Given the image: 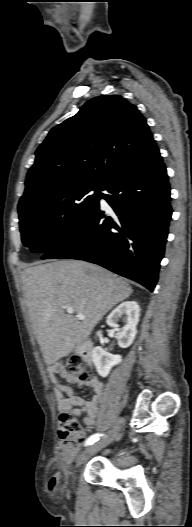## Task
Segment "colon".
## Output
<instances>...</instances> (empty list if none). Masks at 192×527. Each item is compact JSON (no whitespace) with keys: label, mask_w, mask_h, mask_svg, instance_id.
I'll return each instance as SVG.
<instances>
[{"label":"colon","mask_w":192,"mask_h":527,"mask_svg":"<svg viewBox=\"0 0 192 527\" xmlns=\"http://www.w3.org/2000/svg\"><path fill=\"white\" fill-rule=\"evenodd\" d=\"M64 369L80 380L88 379L85 363L79 356H72L65 360ZM58 434L65 452L75 454L85 440L86 430L72 414L64 411L60 416Z\"/></svg>","instance_id":"1"}]
</instances>
